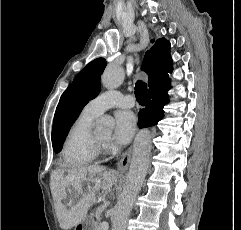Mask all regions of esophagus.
Listing matches in <instances>:
<instances>
[{
  "label": "esophagus",
  "instance_id": "1",
  "mask_svg": "<svg viewBox=\"0 0 241 230\" xmlns=\"http://www.w3.org/2000/svg\"><path fill=\"white\" fill-rule=\"evenodd\" d=\"M132 146L128 148V150L123 154L121 160L118 164V171L123 172L127 170L130 160H131Z\"/></svg>",
  "mask_w": 241,
  "mask_h": 230
}]
</instances>
